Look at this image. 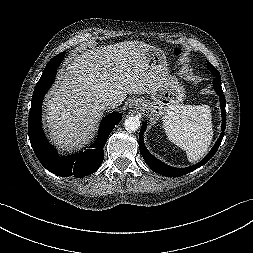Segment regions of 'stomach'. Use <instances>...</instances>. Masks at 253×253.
I'll return each instance as SVG.
<instances>
[{
  "mask_svg": "<svg viewBox=\"0 0 253 253\" xmlns=\"http://www.w3.org/2000/svg\"><path fill=\"white\" fill-rule=\"evenodd\" d=\"M144 54L148 65L157 71L160 80L151 94V100H138L142 103V109L146 113L153 118L164 121L173 108L182 105L184 102L186 97L185 87L169 73L166 56L162 50L148 44L145 47Z\"/></svg>",
  "mask_w": 253,
  "mask_h": 253,
  "instance_id": "1",
  "label": "stomach"
}]
</instances>
